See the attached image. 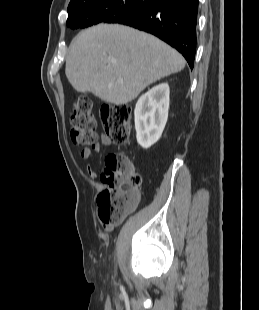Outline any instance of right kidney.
Returning <instances> with one entry per match:
<instances>
[{
  "label": "right kidney",
  "instance_id": "right-kidney-1",
  "mask_svg": "<svg viewBox=\"0 0 259 310\" xmlns=\"http://www.w3.org/2000/svg\"><path fill=\"white\" fill-rule=\"evenodd\" d=\"M169 85L161 83L142 95L135 107L138 144L147 149L161 137L168 119Z\"/></svg>",
  "mask_w": 259,
  "mask_h": 310
}]
</instances>
